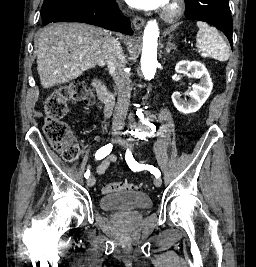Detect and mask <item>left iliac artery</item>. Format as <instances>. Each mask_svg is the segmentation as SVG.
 <instances>
[{
  "instance_id": "left-iliac-artery-1",
  "label": "left iliac artery",
  "mask_w": 256,
  "mask_h": 267,
  "mask_svg": "<svg viewBox=\"0 0 256 267\" xmlns=\"http://www.w3.org/2000/svg\"><path fill=\"white\" fill-rule=\"evenodd\" d=\"M125 159L131 170L139 171V170L145 169V170H149L153 175H155V177H160L161 175L160 171L154 166L139 164L137 161H135L129 149H127L126 151Z\"/></svg>"
}]
</instances>
